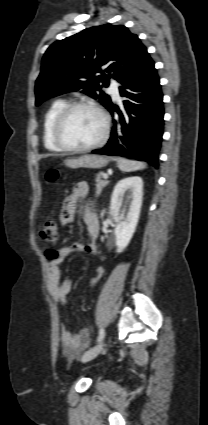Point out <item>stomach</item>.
<instances>
[{
	"instance_id": "1",
	"label": "stomach",
	"mask_w": 208,
	"mask_h": 425,
	"mask_svg": "<svg viewBox=\"0 0 208 425\" xmlns=\"http://www.w3.org/2000/svg\"><path fill=\"white\" fill-rule=\"evenodd\" d=\"M109 160V158L104 156L86 154L77 158L66 159L64 163L67 167L72 169H100L105 167L108 164Z\"/></svg>"
}]
</instances>
